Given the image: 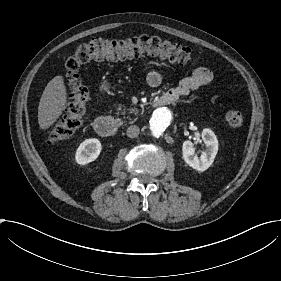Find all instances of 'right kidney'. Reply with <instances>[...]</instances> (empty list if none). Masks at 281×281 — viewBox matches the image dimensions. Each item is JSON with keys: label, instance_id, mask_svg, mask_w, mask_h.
<instances>
[{"label": "right kidney", "instance_id": "obj_1", "mask_svg": "<svg viewBox=\"0 0 281 281\" xmlns=\"http://www.w3.org/2000/svg\"><path fill=\"white\" fill-rule=\"evenodd\" d=\"M102 149L101 143L98 139H86L78 147L75 159L80 165H85L94 161L100 154Z\"/></svg>", "mask_w": 281, "mask_h": 281}]
</instances>
